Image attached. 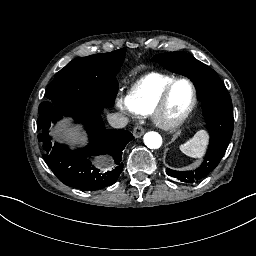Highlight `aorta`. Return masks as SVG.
<instances>
[{
	"label": "aorta",
	"mask_w": 256,
	"mask_h": 256,
	"mask_svg": "<svg viewBox=\"0 0 256 256\" xmlns=\"http://www.w3.org/2000/svg\"><path fill=\"white\" fill-rule=\"evenodd\" d=\"M144 143L149 149H159L162 146L163 139L157 132H147L144 135Z\"/></svg>",
	"instance_id": "aorta-1"
}]
</instances>
